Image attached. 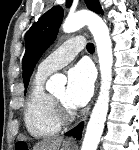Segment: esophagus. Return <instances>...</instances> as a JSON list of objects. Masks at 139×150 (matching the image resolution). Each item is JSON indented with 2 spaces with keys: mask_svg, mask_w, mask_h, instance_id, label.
Returning <instances> with one entry per match:
<instances>
[{
  "mask_svg": "<svg viewBox=\"0 0 139 150\" xmlns=\"http://www.w3.org/2000/svg\"><path fill=\"white\" fill-rule=\"evenodd\" d=\"M84 120H86V117L84 118ZM65 143H66L67 145H74V144L76 143V140H75V138L70 137V138H68V139L65 141Z\"/></svg>",
  "mask_w": 139,
  "mask_h": 150,
  "instance_id": "1",
  "label": "esophagus"
}]
</instances>
